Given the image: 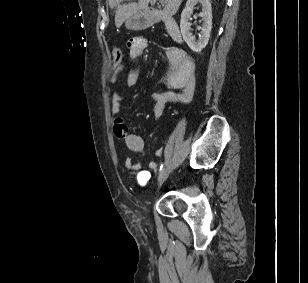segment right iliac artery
I'll use <instances>...</instances> for the list:
<instances>
[{"mask_svg": "<svg viewBox=\"0 0 308 283\" xmlns=\"http://www.w3.org/2000/svg\"><path fill=\"white\" fill-rule=\"evenodd\" d=\"M162 169H163V164H161V166L159 168V172H161Z\"/></svg>", "mask_w": 308, "mask_h": 283, "instance_id": "obj_1", "label": "right iliac artery"}]
</instances>
